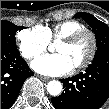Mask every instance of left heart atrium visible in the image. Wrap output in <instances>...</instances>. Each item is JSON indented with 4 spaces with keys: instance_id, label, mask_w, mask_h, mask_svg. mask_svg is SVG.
Here are the masks:
<instances>
[{
    "instance_id": "1",
    "label": "left heart atrium",
    "mask_w": 109,
    "mask_h": 109,
    "mask_svg": "<svg viewBox=\"0 0 109 109\" xmlns=\"http://www.w3.org/2000/svg\"><path fill=\"white\" fill-rule=\"evenodd\" d=\"M31 65L37 72L48 76L65 75L73 69L69 60L61 53L43 55Z\"/></svg>"
}]
</instances>
